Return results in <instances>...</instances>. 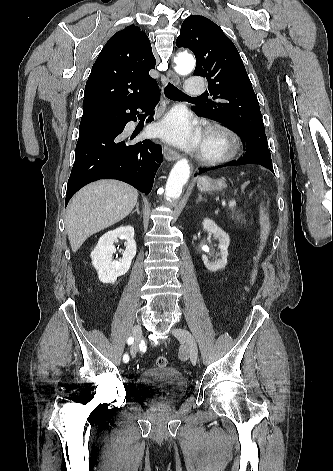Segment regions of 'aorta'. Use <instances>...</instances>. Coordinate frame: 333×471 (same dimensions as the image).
I'll return each mask as SVG.
<instances>
[{"label": "aorta", "mask_w": 333, "mask_h": 471, "mask_svg": "<svg viewBox=\"0 0 333 471\" xmlns=\"http://www.w3.org/2000/svg\"><path fill=\"white\" fill-rule=\"evenodd\" d=\"M175 71L179 75L190 74L194 67V58L190 55H179L175 59ZM190 177V166L188 160L183 158L175 163L166 183V197L175 200L181 196L182 189Z\"/></svg>", "instance_id": "1"}]
</instances>
